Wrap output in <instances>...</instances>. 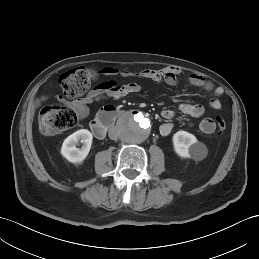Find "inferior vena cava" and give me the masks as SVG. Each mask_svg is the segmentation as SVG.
I'll return each instance as SVG.
<instances>
[{
    "label": "inferior vena cava",
    "mask_w": 259,
    "mask_h": 259,
    "mask_svg": "<svg viewBox=\"0 0 259 259\" xmlns=\"http://www.w3.org/2000/svg\"><path fill=\"white\" fill-rule=\"evenodd\" d=\"M109 137H110V139H112V140H117L118 139V134H117V130L116 129H111L110 131H109Z\"/></svg>",
    "instance_id": "obj_1"
}]
</instances>
